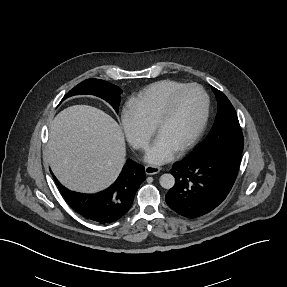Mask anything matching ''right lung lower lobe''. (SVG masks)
Segmentation results:
<instances>
[{
    "mask_svg": "<svg viewBox=\"0 0 287 287\" xmlns=\"http://www.w3.org/2000/svg\"><path fill=\"white\" fill-rule=\"evenodd\" d=\"M66 202L78 214L99 224L119 220L132 206L134 196L145 180V169L127 160L118 179L106 190L96 194H82L68 190L53 175Z\"/></svg>",
    "mask_w": 287,
    "mask_h": 287,
    "instance_id": "98d812e1",
    "label": "right lung lower lobe"
}]
</instances>
